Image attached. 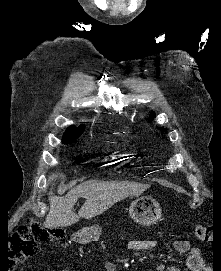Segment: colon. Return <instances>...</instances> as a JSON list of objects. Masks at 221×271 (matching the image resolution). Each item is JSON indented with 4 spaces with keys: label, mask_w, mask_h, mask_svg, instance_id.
<instances>
[{
    "label": "colon",
    "mask_w": 221,
    "mask_h": 271,
    "mask_svg": "<svg viewBox=\"0 0 221 271\" xmlns=\"http://www.w3.org/2000/svg\"><path fill=\"white\" fill-rule=\"evenodd\" d=\"M24 223L25 226H19L9 240V258L12 263H22L34 255L39 244L58 239L65 234L63 228L41 227L33 215L27 216ZM196 235L202 242L211 240L210 229L205 224L197 226Z\"/></svg>",
    "instance_id": "5ec220e1"
}]
</instances>
